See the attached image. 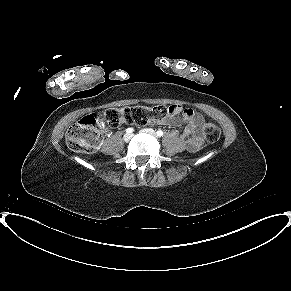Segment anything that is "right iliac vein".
<instances>
[{"instance_id": "1", "label": "right iliac vein", "mask_w": 291, "mask_h": 291, "mask_svg": "<svg viewBox=\"0 0 291 291\" xmlns=\"http://www.w3.org/2000/svg\"><path fill=\"white\" fill-rule=\"evenodd\" d=\"M132 136L133 135L131 133H126L124 135L123 139H124L125 142H129L131 140Z\"/></svg>"}]
</instances>
